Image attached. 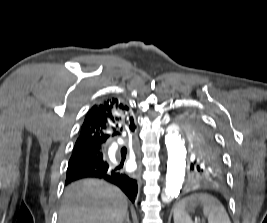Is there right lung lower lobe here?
<instances>
[{
    "label": "right lung lower lobe",
    "instance_id": "98d812e1",
    "mask_svg": "<svg viewBox=\"0 0 267 223\" xmlns=\"http://www.w3.org/2000/svg\"><path fill=\"white\" fill-rule=\"evenodd\" d=\"M84 178H98L110 182L118 186L132 202L135 201L138 192L136 179L108 159L107 147L68 164L66 185Z\"/></svg>",
    "mask_w": 267,
    "mask_h": 223
}]
</instances>
